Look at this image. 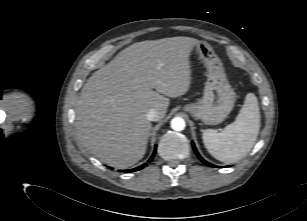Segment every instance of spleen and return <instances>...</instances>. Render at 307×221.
<instances>
[{"label": "spleen", "instance_id": "1", "mask_svg": "<svg viewBox=\"0 0 307 221\" xmlns=\"http://www.w3.org/2000/svg\"><path fill=\"white\" fill-rule=\"evenodd\" d=\"M260 130V110L257 97L248 93L235 121L222 132L206 129L202 133L207 151L223 163H236L254 146Z\"/></svg>", "mask_w": 307, "mask_h": 221}]
</instances>
